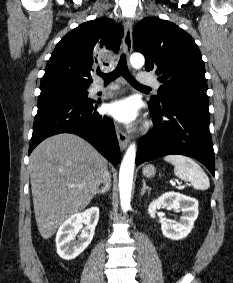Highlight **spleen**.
<instances>
[{
    "mask_svg": "<svg viewBox=\"0 0 233 283\" xmlns=\"http://www.w3.org/2000/svg\"><path fill=\"white\" fill-rule=\"evenodd\" d=\"M164 160L174 166V174L184 181H189L194 189L206 190L210 181L203 169L191 158L171 154L164 157Z\"/></svg>",
    "mask_w": 233,
    "mask_h": 283,
    "instance_id": "3e777b00",
    "label": "spleen"
}]
</instances>
